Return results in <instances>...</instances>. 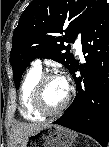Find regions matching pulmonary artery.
<instances>
[{"label":"pulmonary artery","instance_id":"e3ab8cb5","mask_svg":"<svg viewBox=\"0 0 109 147\" xmlns=\"http://www.w3.org/2000/svg\"><path fill=\"white\" fill-rule=\"evenodd\" d=\"M75 48L80 56L83 57L85 55L82 51V42H81L80 38H78L76 40ZM32 65H33V68L38 69V70H42V60L41 59H36Z\"/></svg>","mask_w":109,"mask_h":147}]
</instances>
